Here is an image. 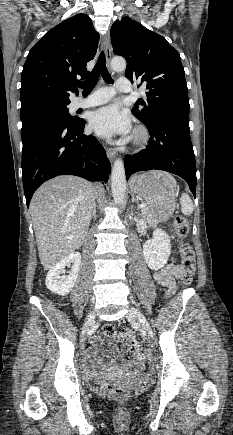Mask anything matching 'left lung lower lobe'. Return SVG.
<instances>
[{"instance_id": "obj_1", "label": "left lung lower lobe", "mask_w": 233, "mask_h": 435, "mask_svg": "<svg viewBox=\"0 0 233 435\" xmlns=\"http://www.w3.org/2000/svg\"><path fill=\"white\" fill-rule=\"evenodd\" d=\"M146 127L151 137L149 145L124 160L127 180L138 171L163 170L183 178L195 197L196 164L189 122H162Z\"/></svg>"}]
</instances>
